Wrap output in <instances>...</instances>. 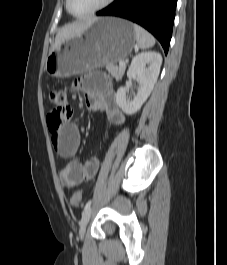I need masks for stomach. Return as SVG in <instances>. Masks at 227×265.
<instances>
[{
	"label": "stomach",
	"mask_w": 227,
	"mask_h": 265,
	"mask_svg": "<svg viewBox=\"0 0 227 265\" xmlns=\"http://www.w3.org/2000/svg\"><path fill=\"white\" fill-rule=\"evenodd\" d=\"M135 41L131 22L115 17L99 18L82 34L54 48L45 61V71L53 77L66 78L113 65L131 53Z\"/></svg>",
	"instance_id": "1"
}]
</instances>
